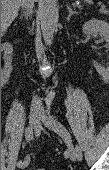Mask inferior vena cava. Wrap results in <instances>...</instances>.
I'll return each instance as SVG.
<instances>
[{
  "label": "inferior vena cava",
  "instance_id": "inferior-vena-cava-1",
  "mask_svg": "<svg viewBox=\"0 0 109 170\" xmlns=\"http://www.w3.org/2000/svg\"><path fill=\"white\" fill-rule=\"evenodd\" d=\"M35 0H21V7L25 11V15L30 16L33 12V5ZM32 108L42 109V103L37 96H34L32 99Z\"/></svg>",
  "mask_w": 109,
  "mask_h": 170
}]
</instances>
